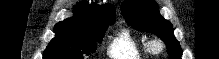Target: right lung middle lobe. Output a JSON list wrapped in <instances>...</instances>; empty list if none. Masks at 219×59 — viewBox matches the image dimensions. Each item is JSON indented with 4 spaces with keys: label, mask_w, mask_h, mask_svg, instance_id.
<instances>
[{
    "label": "right lung middle lobe",
    "mask_w": 219,
    "mask_h": 59,
    "mask_svg": "<svg viewBox=\"0 0 219 59\" xmlns=\"http://www.w3.org/2000/svg\"><path fill=\"white\" fill-rule=\"evenodd\" d=\"M107 28L56 24V36L44 51L43 59H84L95 52L96 43L102 41Z\"/></svg>",
    "instance_id": "right-lung-middle-lobe-1"
}]
</instances>
